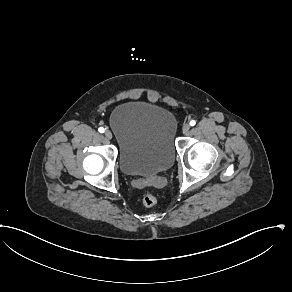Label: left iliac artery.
Wrapping results in <instances>:
<instances>
[{"label": "left iliac artery", "instance_id": "1", "mask_svg": "<svg viewBox=\"0 0 292 292\" xmlns=\"http://www.w3.org/2000/svg\"><path fill=\"white\" fill-rule=\"evenodd\" d=\"M196 124V121L195 120H191L190 121V126H194Z\"/></svg>", "mask_w": 292, "mask_h": 292}]
</instances>
